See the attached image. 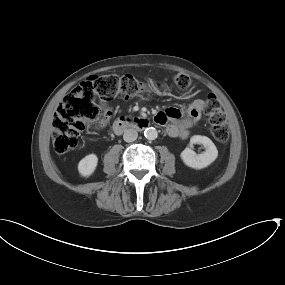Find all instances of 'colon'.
Wrapping results in <instances>:
<instances>
[{
    "label": "colon",
    "instance_id": "colon-1",
    "mask_svg": "<svg viewBox=\"0 0 285 285\" xmlns=\"http://www.w3.org/2000/svg\"><path fill=\"white\" fill-rule=\"evenodd\" d=\"M177 88L184 90L190 85L187 74L178 73L174 76ZM152 85L139 82L131 75L94 76L88 81L74 87L63 99L53 121L52 139L56 153L64 154L77 147L81 132L87 121L98 119L100 110L98 99H112L115 96H136L151 91ZM203 110L209 117L210 132L220 143L227 141L229 127L226 114L220 101L214 95H208ZM158 125H164L167 118L159 113L153 118Z\"/></svg>",
    "mask_w": 285,
    "mask_h": 285
}]
</instances>
